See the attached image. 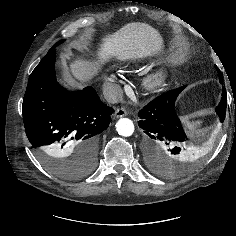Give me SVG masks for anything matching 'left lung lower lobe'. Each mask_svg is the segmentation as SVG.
<instances>
[{
  "instance_id": "left-lung-lower-lobe-1",
  "label": "left lung lower lobe",
  "mask_w": 236,
  "mask_h": 236,
  "mask_svg": "<svg viewBox=\"0 0 236 236\" xmlns=\"http://www.w3.org/2000/svg\"><path fill=\"white\" fill-rule=\"evenodd\" d=\"M217 71L223 84L221 72L218 68ZM184 88L179 87L155 98L138 114L141 118L139 127L145 133L147 161L152 167L163 166L166 154L177 158L186 152L184 144L188 138L174 109L175 100ZM226 107L227 93L223 87L221 102L216 108L221 122L225 119Z\"/></svg>"
}]
</instances>
